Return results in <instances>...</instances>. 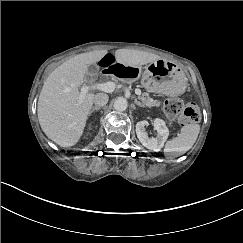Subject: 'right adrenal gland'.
Instances as JSON below:
<instances>
[{
    "label": "right adrenal gland",
    "instance_id": "right-adrenal-gland-1",
    "mask_svg": "<svg viewBox=\"0 0 243 243\" xmlns=\"http://www.w3.org/2000/svg\"><path fill=\"white\" fill-rule=\"evenodd\" d=\"M98 110H100V107H97V106L93 107V108L90 110L89 115H91L94 111H98Z\"/></svg>",
    "mask_w": 243,
    "mask_h": 243
}]
</instances>
